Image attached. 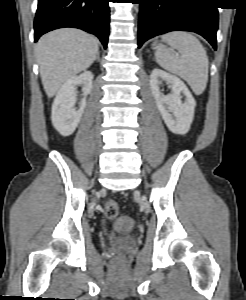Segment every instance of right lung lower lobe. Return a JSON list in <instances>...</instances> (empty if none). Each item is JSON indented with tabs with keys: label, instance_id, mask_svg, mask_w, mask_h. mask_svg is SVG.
Masks as SVG:
<instances>
[{
	"label": "right lung lower lobe",
	"instance_id": "obj_1",
	"mask_svg": "<svg viewBox=\"0 0 246 300\" xmlns=\"http://www.w3.org/2000/svg\"><path fill=\"white\" fill-rule=\"evenodd\" d=\"M110 0H38L34 21L35 41L62 27H75L96 35L107 47Z\"/></svg>",
	"mask_w": 246,
	"mask_h": 300
}]
</instances>
